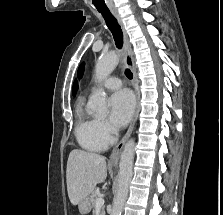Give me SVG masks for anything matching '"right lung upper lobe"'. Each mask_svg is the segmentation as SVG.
Masks as SVG:
<instances>
[{"label": "right lung upper lobe", "instance_id": "obj_1", "mask_svg": "<svg viewBox=\"0 0 223 215\" xmlns=\"http://www.w3.org/2000/svg\"><path fill=\"white\" fill-rule=\"evenodd\" d=\"M75 86H76V82L74 83V87H73V94L75 95Z\"/></svg>", "mask_w": 223, "mask_h": 215}]
</instances>
